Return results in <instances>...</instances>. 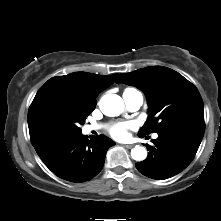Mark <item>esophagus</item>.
I'll list each match as a JSON object with an SVG mask.
<instances>
[{
    "mask_svg": "<svg viewBox=\"0 0 221 221\" xmlns=\"http://www.w3.org/2000/svg\"><path fill=\"white\" fill-rule=\"evenodd\" d=\"M125 148H127V149H130V148H132L134 145H132V144H124L123 145Z\"/></svg>",
    "mask_w": 221,
    "mask_h": 221,
    "instance_id": "34e87169",
    "label": "esophagus"
}]
</instances>
